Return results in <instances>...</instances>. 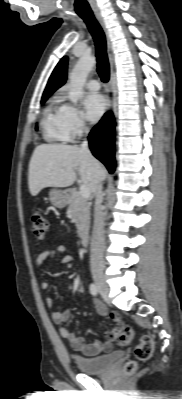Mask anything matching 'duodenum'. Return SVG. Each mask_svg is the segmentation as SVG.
I'll list each match as a JSON object with an SVG mask.
<instances>
[{"label":"duodenum","instance_id":"410a0bca","mask_svg":"<svg viewBox=\"0 0 182 399\" xmlns=\"http://www.w3.org/2000/svg\"><path fill=\"white\" fill-rule=\"evenodd\" d=\"M89 240H90V237H89V234L88 233H83L82 235H81V241H82V245L83 246H88L89 245Z\"/></svg>","mask_w":182,"mask_h":399}]
</instances>
